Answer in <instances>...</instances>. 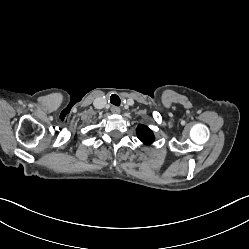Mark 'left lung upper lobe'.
<instances>
[{
  "mask_svg": "<svg viewBox=\"0 0 249 249\" xmlns=\"http://www.w3.org/2000/svg\"><path fill=\"white\" fill-rule=\"evenodd\" d=\"M137 136L144 144L149 145L154 141L153 132L145 125L137 127Z\"/></svg>",
  "mask_w": 249,
  "mask_h": 249,
  "instance_id": "5c2ea615",
  "label": "left lung upper lobe"
}]
</instances>
